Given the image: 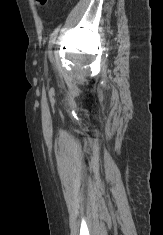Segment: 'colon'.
<instances>
[{"mask_svg": "<svg viewBox=\"0 0 163 235\" xmlns=\"http://www.w3.org/2000/svg\"><path fill=\"white\" fill-rule=\"evenodd\" d=\"M34 2L39 7H48L50 5V0H34Z\"/></svg>", "mask_w": 163, "mask_h": 235, "instance_id": "1", "label": "colon"}]
</instances>
